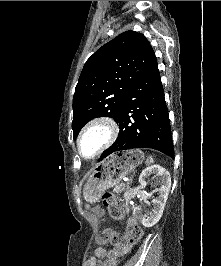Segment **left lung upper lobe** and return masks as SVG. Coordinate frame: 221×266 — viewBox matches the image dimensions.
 <instances>
[{
  "mask_svg": "<svg viewBox=\"0 0 221 266\" xmlns=\"http://www.w3.org/2000/svg\"><path fill=\"white\" fill-rule=\"evenodd\" d=\"M157 68L146 37L126 31L99 48L85 63L73 97V139L97 117L119 119L131 87Z\"/></svg>",
  "mask_w": 221,
  "mask_h": 266,
  "instance_id": "left-lung-upper-lobe-1",
  "label": "left lung upper lobe"
}]
</instances>
